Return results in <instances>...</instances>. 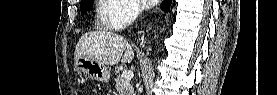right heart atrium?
<instances>
[{"instance_id":"d8ad5b80","label":"right heart atrium","mask_w":277,"mask_h":95,"mask_svg":"<svg viewBox=\"0 0 277 95\" xmlns=\"http://www.w3.org/2000/svg\"><path fill=\"white\" fill-rule=\"evenodd\" d=\"M122 4L119 9L118 16L120 19V25L124 26L135 20L140 12L139 6L133 0H117Z\"/></svg>"}]
</instances>
